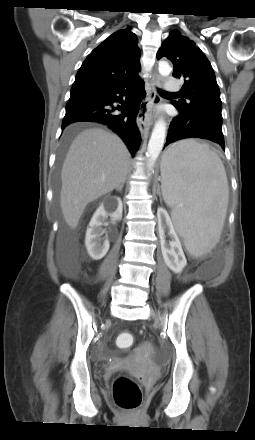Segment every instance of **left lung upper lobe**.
I'll use <instances>...</instances> for the list:
<instances>
[{"mask_svg": "<svg viewBox=\"0 0 255 440\" xmlns=\"http://www.w3.org/2000/svg\"><path fill=\"white\" fill-rule=\"evenodd\" d=\"M162 57L173 63V76L185 81L181 93L188 101L181 99L174 102V106L185 113H204L222 118L220 90L214 70L195 42L173 30L157 53V59Z\"/></svg>", "mask_w": 255, "mask_h": 440, "instance_id": "1", "label": "left lung upper lobe"}]
</instances>
